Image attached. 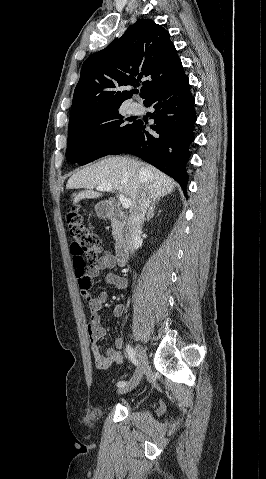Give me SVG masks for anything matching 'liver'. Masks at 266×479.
Instances as JSON below:
<instances>
[{"label":"liver","instance_id":"1","mask_svg":"<svg viewBox=\"0 0 266 479\" xmlns=\"http://www.w3.org/2000/svg\"><path fill=\"white\" fill-rule=\"evenodd\" d=\"M102 184L111 185L115 191L130 197L131 209L137 203L141 189L146 186L149 197L160 199L170 194L176 182L155 167L129 157H108L73 174L66 185L67 189L82 188L73 203L82 199H95L102 196L93 189Z\"/></svg>","mask_w":266,"mask_h":479}]
</instances>
